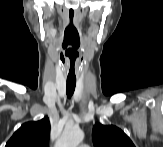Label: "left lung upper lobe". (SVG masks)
Returning <instances> with one entry per match:
<instances>
[{"label":"left lung upper lobe","mask_w":163,"mask_h":147,"mask_svg":"<svg viewBox=\"0 0 163 147\" xmlns=\"http://www.w3.org/2000/svg\"><path fill=\"white\" fill-rule=\"evenodd\" d=\"M94 147H135L130 138L118 127L96 123L93 127Z\"/></svg>","instance_id":"5c2ea615"}]
</instances>
